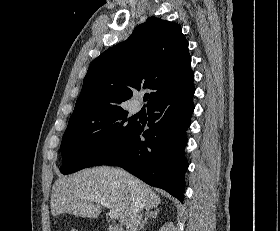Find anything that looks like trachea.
<instances>
[{
	"instance_id": "1",
	"label": "trachea",
	"mask_w": 280,
	"mask_h": 231,
	"mask_svg": "<svg viewBox=\"0 0 280 231\" xmlns=\"http://www.w3.org/2000/svg\"><path fill=\"white\" fill-rule=\"evenodd\" d=\"M148 98H149V94H145L143 100H144V101H147Z\"/></svg>"
}]
</instances>
